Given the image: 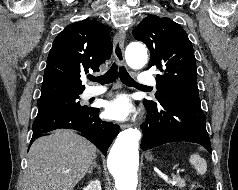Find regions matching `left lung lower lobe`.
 <instances>
[{
  "mask_svg": "<svg viewBox=\"0 0 238 190\" xmlns=\"http://www.w3.org/2000/svg\"><path fill=\"white\" fill-rule=\"evenodd\" d=\"M143 103L148 113L146 121L141 125L143 139L140 147L143 150L170 142L186 141L198 143L212 152L200 99L168 97L157 104Z\"/></svg>",
  "mask_w": 238,
  "mask_h": 190,
  "instance_id": "1",
  "label": "left lung lower lobe"
}]
</instances>
